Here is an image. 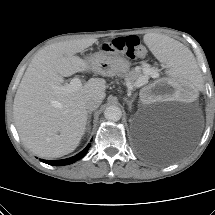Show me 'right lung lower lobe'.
<instances>
[{
  "label": "right lung lower lobe",
  "instance_id": "1",
  "mask_svg": "<svg viewBox=\"0 0 215 215\" xmlns=\"http://www.w3.org/2000/svg\"><path fill=\"white\" fill-rule=\"evenodd\" d=\"M89 147H90V144H88L87 147L83 151L78 153L77 155L70 157V158H67V159L53 160V161L41 160V161L44 163H47L49 165H56V166H58V165H69V164H72L75 161L81 159L87 153Z\"/></svg>",
  "mask_w": 215,
  "mask_h": 215
}]
</instances>
